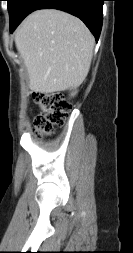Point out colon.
Returning a JSON list of instances; mask_svg holds the SVG:
<instances>
[{"mask_svg":"<svg viewBox=\"0 0 133 253\" xmlns=\"http://www.w3.org/2000/svg\"><path fill=\"white\" fill-rule=\"evenodd\" d=\"M33 100L40 109L34 119V128L38 134H50L65 123L68 103L61 94L38 92L33 94Z\"/></svg>","mask_w":133,"mask_h":253,"instance_id":"5ec220e1","label":"colon"}]
</instances>
